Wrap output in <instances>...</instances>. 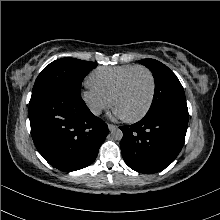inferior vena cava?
Listing matches in <instances>:
<instances>
[{"label": "inferior vena cava", "mask_w": 220, "mask_h": 220, "mask_svg": "<svg viewBox=\"0 0 220 220\" xmlns=\"http://www.w3.org/2000/svg\"><path fill=\"white\" fill-rule=\"evenodd\" d=\"M92 112H93V114H95V115H100V113H101V108L93 109Z\"/></svg>", "instance_id": "inferior-vena-cava-1"}]
</instances>
